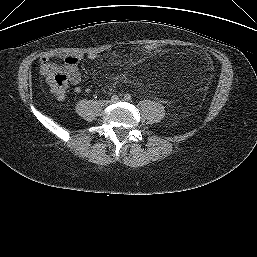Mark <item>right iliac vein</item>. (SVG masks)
Here are the masks:
<instances>
[{
	"label": "right iliac vein",
	"mask_w": 257,
	"mask_h": 257,
	"mask_svg": "<svg viewBox=\"0 0 257 257\" xmlns=\"http://www.w3.org/2000/svg\"><path fill=\"white\" fill-rule=\"evenodd\" d=\"M103 103H104V105H107L110 103V101H104Z\"/></svg>",
	"instance_id": "1"
}]
</instances>
